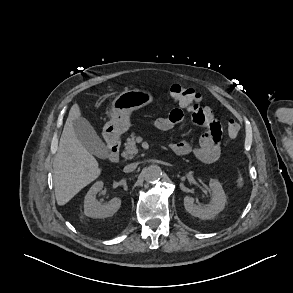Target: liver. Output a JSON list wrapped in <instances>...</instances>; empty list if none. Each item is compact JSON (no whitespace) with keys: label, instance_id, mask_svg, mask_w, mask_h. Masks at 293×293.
<instances>
[{"label":"liver","instance_id":"6515ba94","mask_svg":"<svg viewBox=\"0 0 293 293\" xmlns=\"http://www.w3.org/2000/svg\"><path fill=\"white\" fill-rule=\"evenodd\" d=\"M80 115L78 104H74L69 111L53 162L55 196L60 206L68 203L101 174L97 160L74 132L73 120Z\"/></svg>","mask_w":293,"mask_h":293}]
</instances>
